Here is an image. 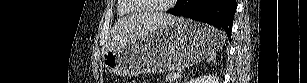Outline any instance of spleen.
Returning <instances> with one entry per match:
<instances>
[{
	"mask_svg": "<svg viewBox=\"0 0 307 83\" xmlns=\"http://www.w3.org/2000/svg\"><path fill=\"white\" fill-rule=\"evenodd\" d=\"M215 30H216V29H215ZM217 31H218V30H217ZM215 38H216V39L218 38L219 42L222 43V42L225 40L226 36H225V34H224L223 32H219V33L217 34V36H215ZM217 50H218V49H217ZM215 51H216V50H215ZM215 51L212 52V53H210V54L207 56V57H208V59H207L208 62L214 61V59H215V57H216Z\"/></svg>",
	"mask_w": 307,
	"mask_h": 83,
	"instance_id": "3e777b00",
	"label": "spleen"
}]
</instances>
